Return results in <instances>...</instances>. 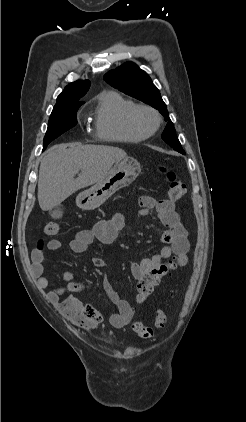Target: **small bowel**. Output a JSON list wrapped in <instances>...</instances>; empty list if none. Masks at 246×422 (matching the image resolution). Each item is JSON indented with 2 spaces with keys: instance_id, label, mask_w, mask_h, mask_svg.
I'll use <instances>...</instances> for the list:
<instances>
[{
  "instance_id": "1",
  "label": "small bowel",
  "mask_w": 246,
  "mask_h": 422,
  "mask_svg": "<svg viewBox=\"0 0 246 422\" xmlns=\"http://www.w3.org/2000/svg\"><path fill=\"white\" fill-rule=\"evenodd\" d=\"M140 215H146L151 209H155L161 223L166 227L162 234L161 241L165 244L161 250L140 262L131 264V273L137 280L153 268L158 267L164 260L176 255L185 254L189 250L187 231L183 226L178 213L175 210L173 200H156L152 196H142L139 201ZM126 225L125 217L122 214H115L109 219L97 222L90 229H83L76 233L70 242V249L76 254L83 253L94 241L103 244H110L116 238L118 232ZM49 250L60 249L61 242L52 239L47 245ZM33 274L37 277L38 286L47 289L50 286L49 280L43 275L45 255L43 250L35 249L31 254ZM95 267L102 268L105 262L102 258H92ZM64 280L67 284L64 287L50 289L47 292L48 299L56 305L62 313L75 325L90 330L103 322L102 314L89 304H84L75 298L72 293L91 288L90 283L82 284L74 280L72 273H66ZM102 289L109 300L116 306L117 311L109 316L110 324L115 328H122L128 325L134 314V309L129 302L122 298L114 286L103 279ZM68 294L65 298H61Z\"/></svg>"
}]
</instances>
